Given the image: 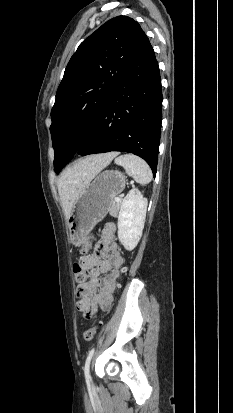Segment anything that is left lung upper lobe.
<instances>
[{"label":"left lung upper lobe","instance_id":"left-lung-upper-lobe-1","mask_svg":"<svg viewBox=\"0 0 233 413\" xmlns=\"http://www.w3.org/2000/svg\"><path fill=\"white\" fill-rule=\"evenodd\" d=\"M145 37L138 22L118 16L87 37L71 57L51 110L50 132L57 174L85 143ZM76 130L80 143L66 147V138Z\"/></svg>","mask_w":233,"mask_h":413}]
</instances>
